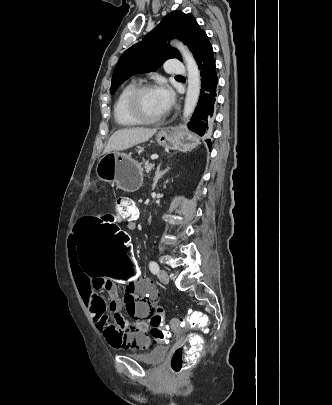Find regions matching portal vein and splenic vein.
<instances>
[{"label":"portal vein and splenic vein","mask_w":332,"mask_h":405,"mask_svg":"<svg viewBox=\"0 0 332 405\" xmlns=\"http://www.w3.org/2000/svg\"><path fill=\"white\" fill-rule=\"evenodd\" d=\"M151 158H152V160H155V159L158 158V155H152ZM153 166H154V164H153ZM151 168H152V167H151Z\"/></svg>","instance_id":"obj_1"}]
</instances>
